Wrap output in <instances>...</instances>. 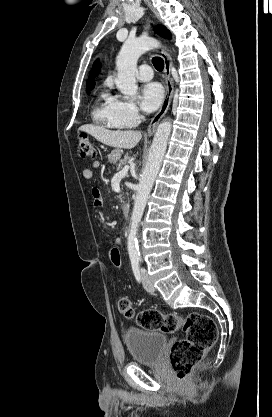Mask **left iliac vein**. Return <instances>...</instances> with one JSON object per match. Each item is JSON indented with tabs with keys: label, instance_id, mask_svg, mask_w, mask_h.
<instances>
[{
	"label": "left iliac vein",
	"instance_id": "left-iliac-vein-1",
	"mask_svg": "<svg viewBox=\"0 0 272 417\" xmlns=\"http://www.w3.org/2000/svg\"><path fill=\"white\" fill-rule=\"evenodd\" d=\"M142 274V282H143V287L146 291L148 292H154V286L153 284L150 282L148 275L146 273L145 270L141 271Z\"/></svg>",
	"mask_w": 272,
	"mask_h": 417
}]
</instances>
